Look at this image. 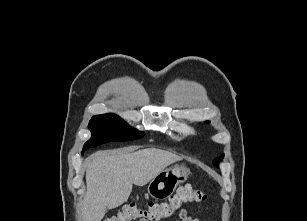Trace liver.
<instances>
[{
	"instance_id": "6515ba94",
	"label": "liver",
	"mask_w": 307,
	"mask_h": 221,
	"mask_svg": "<svg viewBox=\"0 0 307 221\" xmlns=\"http://www.w3.org/2000/svg\"><path fill=\"white\" fill-rule=\"evenodd\" d=\"M180 160L181 157L156 148L92 154L87 159L83 221H101L107 209L128 200L133 184L146 185L168 165Z\"/></svg>"
}]
</instances>
